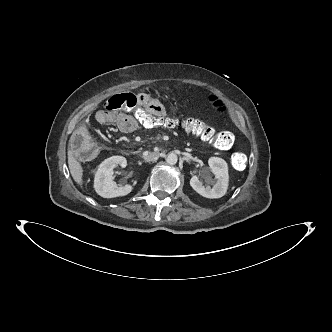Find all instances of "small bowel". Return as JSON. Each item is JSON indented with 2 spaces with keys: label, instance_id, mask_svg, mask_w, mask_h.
<instances>
[{
  "label": "small bowel",
  "instance_id": "c3829d8e",
  "mask_svg": "<svg viewBox=\"0 0 332 332\" xmlns=\"http://www.w3.org/2000/svg\"><path fill=\"white\" fill-rule=\"evenodd\" d=\"M136 101L141 109L155 117L166 119L170 115L168 107L151 101L146 94H139ZM96 118L101 123L118 126L125 133L137 132L140 129L138 118L129 111L99 110L96 113Z\"/></svg>",
  "mask_w": 332,
  "mask_h": 332
}]
</instances>
